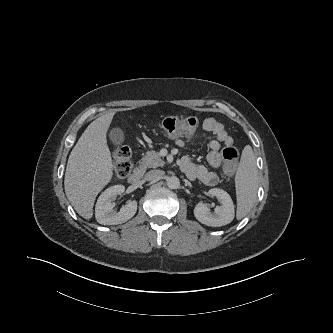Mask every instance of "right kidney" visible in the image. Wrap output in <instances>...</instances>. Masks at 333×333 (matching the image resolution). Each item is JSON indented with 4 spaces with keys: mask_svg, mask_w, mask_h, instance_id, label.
Masks as SVG:
<instances>
[{
    "mask_svg": "<svg viewBox=\"0 0 333 333\" xmlns=\"http://www.w3.org/2000/svg\"><path fill=\"white\" fill-rule=\"evenodd\" d=\"M125 191L123 185H114L106 189L99 196L96 207L95 217L97 222L102 225H117L131 219L137 211V202L131 201L123 206L120 211L114 209V200L117 195Z\"/></svg>",
    "mask_w": 333,
    "mask_h": 333,
    "instance_id": "obj_1",
    "label": "right kidney"
}]
</instances>
